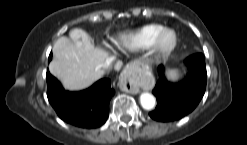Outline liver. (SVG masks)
<instances>
[{"instance_id": "liver-1", "label": "liver", "mask_w": 247, "mask_h": 145, "mask_svg": "<svg viewBox=\"0 0 247 145\" xmlns=\"http://www.w3.org/2000/svg\"><path fill=\"white\" fill-rule=\"evenodd\" d=\"M69 36H62L55 42L54 59L49 70L66 90L78 91L100 79L101 65L107 59L113 61L114 56L95 47L88 34L81 29H73Z\"/></svg>"}]
</instances>
